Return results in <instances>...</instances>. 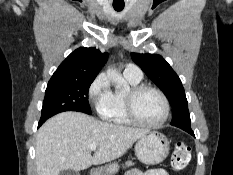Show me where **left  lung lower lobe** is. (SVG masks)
I'll return each mask as SVG.
<instances>
[{
  "label": "left lung lower lobe",
  "mask_w": 233,
  "mask_h": 175,
  "mask_svg": "<svg viewBox=\"0 0 233 175\" xmlns=\"http://www.w3.org/2000/svg\"><path fill=\"white\" fill-rule=\"evenodd\" d=\"M186 132H188L189 134H191V135L194 136V132H193L192 130H188V131H186Z\"/></svg>",
  "instance_id": "left-lung-lower-lobe-1"
}]
</instances>
